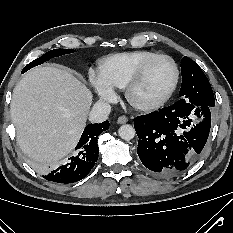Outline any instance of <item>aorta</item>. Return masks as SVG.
Instances as JSON below:
<instances>
[{"instance_id":"obj_1","label":"aorta","mask_w":233,"mask_h":233,"mask_svg":"<svg viewBox=\"0 0 233 233\" xmlns=\"http://www.w3.org/2000/svg\"><path fill=\"white\" fill-rule=\"evenodd\" d=\"M118 134L119 136L123 139V140H131L134 138L135 136V129L133 126L129 125V124H125L122 125L119 130H118Z\"/></svg>"}]
</instances>
